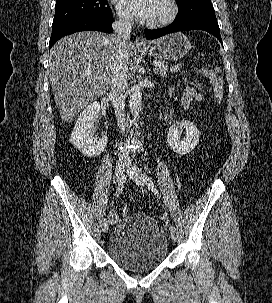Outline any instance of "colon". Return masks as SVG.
Wrapping results in <instances>:
<instances>
[{"instance_id": "5ec220e1", "label": "colon", "mask_w": 272, "mask_h": 303, "mask_svg": "<svg viewBox=\"0 0 272 303\" xmlns=\"http://www.w3.org/2000/svg\"><path fill=\"white\" fill-rule=\"evenodd\" d=\"M186 71L185 64L183 62H174L171 66V72L175 75L182 74ZM198 75L209 79L213 85V91L216 101L221 102L224 96V88L222 79L216 75V73L211 69L201 68L194 71ZM123 214L129 212L127 207L122 209Z\"/></svg>"}]
</instances>
